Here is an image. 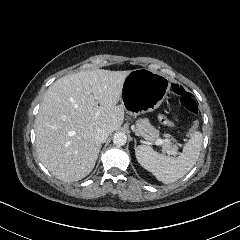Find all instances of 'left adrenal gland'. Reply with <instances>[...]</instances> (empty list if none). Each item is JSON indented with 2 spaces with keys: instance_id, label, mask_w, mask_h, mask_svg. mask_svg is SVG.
Wrapping results in <instances>:
<instances>
[{
  "instance_id": "obj_1",
  "label": "left adrenal gland",
  "mask_w": 240,
  "mask_h": 240,
  "mask_svg": "<svg viewBox=\"0 0 240 240\" xmlns=\"http://www.w3.org/2000/svg\"><path fill=\"white\" fill-rule=\"evenodd\" d=\"M134 143H135V148H136V144H137V141H136V139H134Z\"/></svg>"
}]
</instances>
